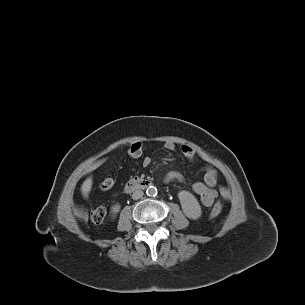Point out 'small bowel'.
Segmentation results:
<instances>
[{"mask_svg": "<svg viewBox=\"0 0 305 305\" xmlns=\"http://www.w3.org/2000/svg\"><path fill=\"white\" fill-rule=\"evenodd\" d=\"M164 147L169 151L176 150V145L172 141L165 142ZM180 150L188 161H193L197 154L196 150L189 145H182ZM142 163L144 166L150 165L151 158L144 157ZM217 176L214 166L209 165L205 169L204 180L192 184V190L200 197L201 203L206 207L212 206L219 193L225 198L229 197V190L224 186L217 185ZM165 180L167 182L173 180L182 182L184 177L177 171H170L166 174Z\"/></svg>", "mask_w": 305, "mask_h": 305, "instance_id": "1", "label": "small bowel"}]
</instances>
